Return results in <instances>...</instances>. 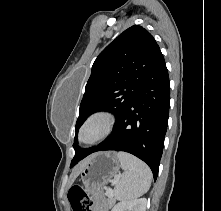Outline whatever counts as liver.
<instances>
[{
	"instance_id": "liver-1",
	"label": "liver",
	"mask_w": 221,
	"mask_h": 211,
	"mask_svg": "<svg viewBox=\"0 0 221 211\" xmlns=\"http://www.w3.org/2000/svg\"><path fill=\"white\" fill-rule=\"evenodd\" d=\"M90 159L87 158L86 160H84L83 162H81L75 169L74 174H73V178L71 179V184L74 182V180L76 179V177L79 175V173L81 172L82 168L85 166V164L88 162V160Z\"/></svg>"
}]
</instances>
